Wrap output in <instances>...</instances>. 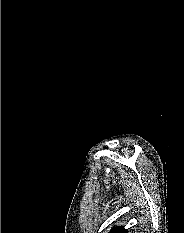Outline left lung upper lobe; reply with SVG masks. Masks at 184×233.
Returning <instances> with one entry per match:
<instances>
[{"label": "left lung upper lobe", "instance_id": "1", "mask_svg": "<svg viewBox=\"0 0 184 233\" xmlns=\"http://www.w3.org/2000/svg\"><path fill=\"white\" fill-rule=\"evenodd\" d=\"M109 233H128V230L124 229L122 226L114 227Z\"/></svg>", "mask_w": 184, "mask_h": 233}]
</instances>
